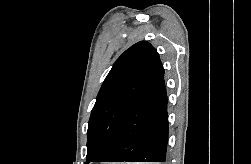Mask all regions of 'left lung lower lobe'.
<instances>
[{"label": "left lung lower lobe", "instance_id": "1", "mask_svg": "<svg viewBox=\"0 0 251 164\" xmlns=\"http://www.w3.org/2000/svg\"><path fill=\"white\" fill-rule=\"evenodd\" d=\"M163 75L128 111L112 150L102 162H165L168 115Z\"/></svg>", "mask_w": 251, "mask_h": 164}]
</instances>
